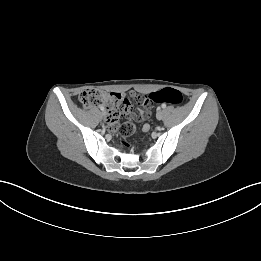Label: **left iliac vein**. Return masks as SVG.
Masks as SVG:
<instances>
[{"label":"left iliac vein","mask_w":261,"mask_h":261,"mask_svg":"<svg viewBox=\"0 0 261 261\" xmlns=\"http://www.w3.org/2000/svg\"><path fill=\"white\" fill-rule=\"evenodd\" d=\"M163 111L162 110H159L158 112H157V115H156V117H157V119L158 120H161L162 118H163Z\"/></svg>","instance_id":"4c4485c4"}]
</instances>
